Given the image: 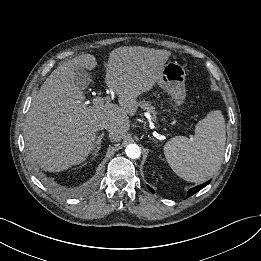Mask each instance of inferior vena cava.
<instances>
[{
  "mask_svg": "<svg viewBox=\"0 0 261 261\" xmlns=\"http://www.w3.org/2000/svg\"><path fill=\"white\" fill-rule=\"evenodd\" d=\"M100 129H106V130H110V128H109V126L108 125H106V124H103L101 127H100Z\"/></svg>",
  "mask_w": 261,
  "mask_h": 261,
  "instance_id": "1",
  "label": "inferior vena cava"
}]
</instances>
